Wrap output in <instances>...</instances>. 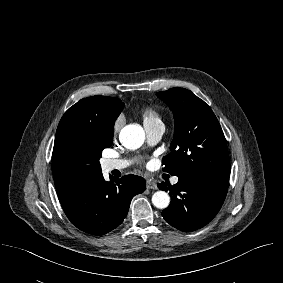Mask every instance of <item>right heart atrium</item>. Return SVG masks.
Here are the masks:
<instances>
[{"mask_svg":"<svg viewBox=\"0 0 283 283\" xmlns=\"http://www.w3.org/2000/svg\"><path fill=\"white\" fill-rule=\"evenodd\" d=\"M124 117L119 116L114 123V132H118L124 124Z\"/></svg>","mask_w":283,"mask_h":283,"instance_id":"d8ad5b80","label":"right heart atrium"}]
</instances>
